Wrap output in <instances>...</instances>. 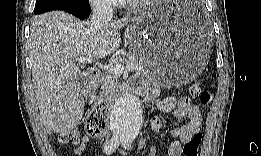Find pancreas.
<instances>
[{"label": "pancreas", "instance_id": "obj_1", "mask_svg": "<svg viewBox=\"0 0 261 156\" xmlns=\"http://www.w3.org/2000/svg\"><path fill=\"white\" fill-rule=\"evenodd\" d=\"M133 64L136 66L137 73L149 74L150 68L146 61L141 58L137 52H130L126 56L116 57L112 64ZM119 76L113 73L110 69L101 74L99 83L101 84V92L98 99L104 100L109 96H114L119 91Z\"/></svg>", "mask_w": 261, "mask_h": 156}]
</instances>
